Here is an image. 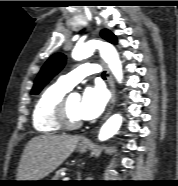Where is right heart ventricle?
<instances>
[{
    "label": "right heart ventricle",
    "mask_w": 178,
    "mask_h": 186,
    "mask_svg": "<svg viewBox=\"0 0 178 186\" xmlns=\"http://www.w3.org/2000/svg\"><path fill=\"white\" fill-rule=\"evenodd\" d=\"M67 92L68 90L57 83L48 87L39 96L32 112V123L37 132L53 134L61 130L54 121L53 113L56 104Z\"/></svg>",
    "instance_id": "right-heart-ventricle-1"
}]
</instances>
